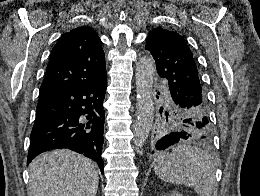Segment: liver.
<instances>
[{
    "mask_svg": "<svg viewBox=\"0 0 260 196\" xmlns=\"http://www.w3.org/2000/svg\"><path fill=\"white\" fill-rule=\"evenodd\" d=\"M29 196H96L98 172L89 158L71 150L40 154L30 164Z\"/></svg>",
    "mask_w": 260,
    "mask_h": 196,
    "instance_id": "1",
    "label": "liver"
}]
</instances>
